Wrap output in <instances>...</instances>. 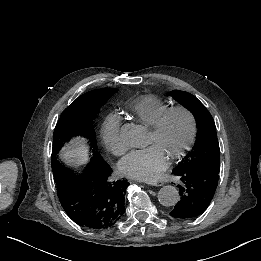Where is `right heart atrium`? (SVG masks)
Instances as JSON below:
<instances>
[{
	"mask_svg": "<svg viewBox=\"0 0 261 261\" xmlns=\"http://www.w3.org/2000/svg\"><path fill=\"white\" fill-rule=\"evenodd\" d=\"M102 143L104 149L114 155L120 156L127 147L122 144L119 137L118 123L114 118H107L101 129Z\"/></svg>",
	"mask_w": 261,
	"mask_h": 261,
	"instance_id": "1",
	"label": "right heart atrium"
}]
</instances>
